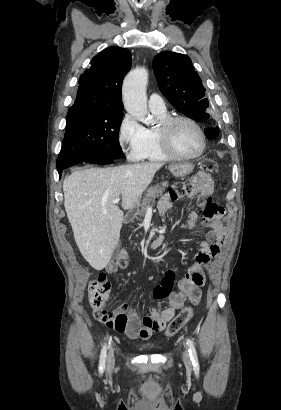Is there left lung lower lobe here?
I'll list each match as a JSON object with an SVG mask.
<instances>
[{"label":"left lung lower lobe","instance_id":"left-lung-lower-lobe-1","mask_svg":"<svg viewBox=\"0 0 281 410\" xmlns=\"http://www.w3.org/2000/svg\"><path fill=\"white\" fill-rule=\"evenodd\" d=\"M212 129H213V127H209V128H207V129L205 130V133H206V135H207V137H208L209 139H212V137H211V135H210Z\"/></svg>","mask_w":281,"mask_h":410}]
</instances>
